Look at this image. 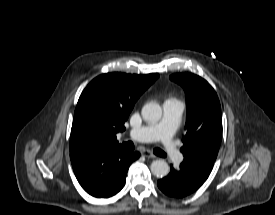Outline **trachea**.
I'll use <instances>...</instances> for the list:
<instances>
[{
	"label": "trachea",
	"instance_id": "obj_1",
	"mask_svg": "<svg viewBox=\"0 0 275 215\" xmlns=\"http://www.w3.org/2000/svg\"><path fill=\"white\" fill-rule=\"evenodd\" d=\"M125 147L132 150L134 149V144L132 142H127L125 143ZM153 152L160 157H166V154L159 148L154 149Z\"/></svg>",
	"mask_w": 275,
	"mask_h": 215
}]
</instances>
